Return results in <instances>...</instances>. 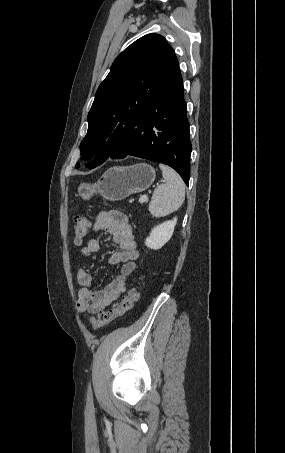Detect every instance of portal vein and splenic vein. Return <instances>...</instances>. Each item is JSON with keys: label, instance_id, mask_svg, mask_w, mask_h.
<instances>
[{"label": "portal vein and splenic vein", "instance_id": "obj_1", "mask_svg": "<svg viewBox=\"0 0 285 453\" xmlns=\"http://www.w3.org/2000/svg\"><path fill=\"white\" fill-rule=\"evenodd\" d=\"M146 200H147L146 195H143V196H141V197L139 198V202H140V203H144V202H146Z\"/></svg>", "mask_w": 285, "mask_h": 453}]
</instances>
